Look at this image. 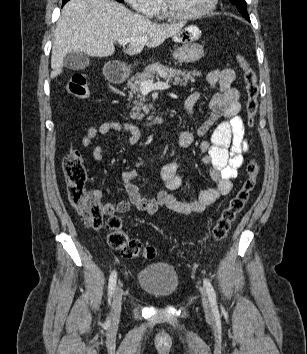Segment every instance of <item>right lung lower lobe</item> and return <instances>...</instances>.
Listing matches in <instances>:
<instances>
[{"mask_svg":"<svg viewBox=\"0 0 307 354\" xmlns=\"http://www.w3.org/2000/svg\"><path fill=\"white\" fill-rule=\"evenodd\" d=\"M67 1H69V0H63V1H62V6H63Z\"/></svg>","mask_w":307,"mask_h":354,"instance_id":"1","label":"right lung lower lobe"}]
</instances>
